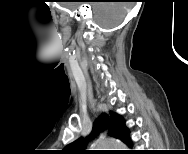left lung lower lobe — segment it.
<instances>
[{"label":"left lung lower lobe","mask_w":188,"mask_h":154,"mask_svg":"<svg viewBox=\"0 0 188 154\" xmlns=\"http://www.w3.org/2000/svg\"><path fill=\"white\" fill-rule=\"evenodd\" d=\"M126 145H128L129 147L131 146V139H130V134H129V131H128V129H127V131H126V134H125V136H124V138H123V140H122Z\"/></svg>","instance_id":"left-lung-lower-lobe-1"}]
</instances>
